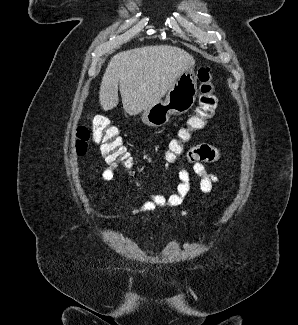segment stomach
I'll use <instances>...</instances> for the list:
<instances>
[{"label":"stomach","mask_w":298,"mask_h":325,"mask_svg":"<svg viewBox=\"0 0 298 325\" xmlns=\"http://www.w3.org/2000/svg\"><path fill=\"white\" fill-rule=\"evenodd\" d=\"M198 94L197 78L194 66L184 70L168 90L165 100L156 102L143 110L141 120L148 126H162L168 122L171 114H184L192 108Z\"/></svg>","instance_id":"obj_1"}]
</instances>
